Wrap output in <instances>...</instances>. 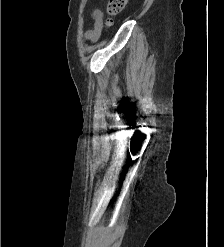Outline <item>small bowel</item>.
Masks as SVG:
<instances>
[{
    "label": "small bowel",
    "instance_id": "c3829d8e",
    "mask_svg": "<svg viewBox=\"0 0 224 247\" xmlns=\"http://www.w3.org/2000/svg\"><path fill=\"white\" fill-rule=\"evenodd\" d=\"M94 18H95V27L92 31L88 33V38L91 40H95L98 38L100 34L101 29V14L99 11L94 12Z\"/></svg>",
    "mask_w": 224,
    "mask_h": 247
}]
</instances>
